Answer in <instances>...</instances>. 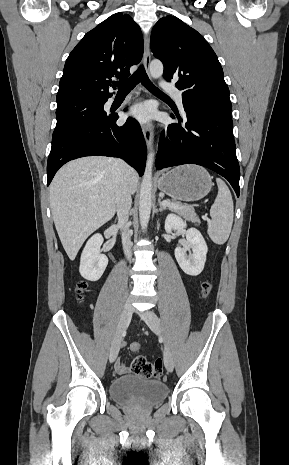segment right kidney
<instances>
[{"mask_svg": "<svg viewBox=\"0 0 289 465\" xmlns=\"http://www.w3.org/2000/svg\"><path fill=\"white\" fill-rule=\"evenodd\" d=\"M102 243L103 237L97 233L87 241L83 249L79 272L86 280L92 282L99 280L108 265V258L100 251Z\"/></svg>", "mask_w": 289, "mask_h": 465, "instance_id": "ca27d5eb", "label": "right kidney"}]
</instances>
